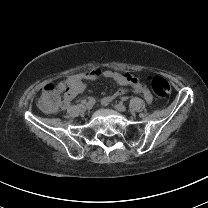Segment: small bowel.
<instances>
[{
	"label": "small bowel",
	"mask_w": 208,
	"mask_h": 208,
	"mask_svg": "<svg viewBox=\"0 0 208 208\" xmlns=\"http://www.w3.org/2000/svg\"><path fill=\"white\" fill-rule=\"evenodd\" d=\"M103 75V77L115 81L121 87H132L133 90L137 93L143 95L146 102L151 103L153 98L150 91L147 87L138 82V80L132 74H122L113 70H105L101 71L100 69H94L92 71L79 73L75 75H70L66 79L69 80L72 86V91L69 97L63 100L62 107L67 108L72 105V99L79 93L83 92L85 89V82L88 80H93L97 78L99 75ZM118 90L114 94L107 95L103 97L101 103L103 106L109 105L114 99L121 96L124 93V89Z\"/></svg>",
	"instance_id": "small-bowel-1"
}]
</instances>
